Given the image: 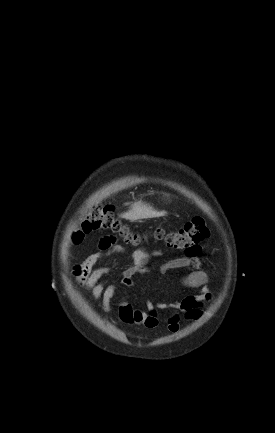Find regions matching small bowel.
<instances>
[{
  "label": "small bowel",
  "instance_id": "obj_1",
  "mask_svg": "<svg viewBox=\"0 0 275 433\" xmlns=\"http://www.w3.org/2000/svg\"><path fill=\"white\" fill-rule=\"evenodd\" d=\"M99 251L93 252L74 269V275L79 284L88 290L95 300L101 302L102 310L109 313L112 310V299L116 294V285L109 280L101 278L113 269L110 266H98L97 263L104 257L112 254L122 253L123 247L117 245L111 236L104 237L99 244ZM201 248L197 247V252L192 256L176 257L167 261L162 266V271L175 269H187L189 273L183 278V286L196 289L197 292L185 296L181 301L173 304L148 302L146 309L134 308L126 301H121L118 306L120 320L127 325H142L149 329L158 326V312L160 310H172L167 318V327L170 332L175 333L180 326V314L187 320H195L201 314L202 305L212 297L208 287V275L203 269V264L199 258ZM160 251H148L144 248H137L131 252L132 264L120 272V283L125 287L133 284L135 274L146 273L149 271V262L153 257L159 256Z\"/></svg>",
  "mask_w": 275,
  "mask_h": 433
}]
</instances>
